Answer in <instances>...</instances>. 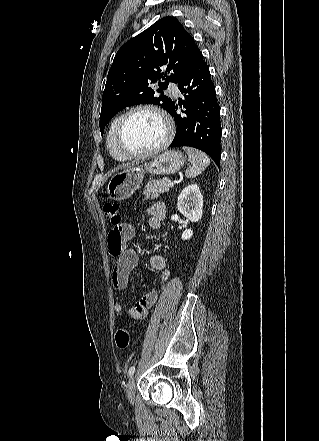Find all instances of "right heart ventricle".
I'll return each instance as SVG.
<instances>
[{"label":"right heart ventricle","instance_id":"obj_1","mask_svg":"<svg viewBox=\"0 0 319 441\" xmlns=\"http://www.w3.org/2000/svg\"><path fill=\"white\" fill-rule=\"evenodd\" d=\"M121 116L122 115H118L112 120L106 138L108 151L111 157L117 161H125L128 159L118 150L115 143V130Z\"/></svg>","mask_w":319,"mask_h":441}]
</instances>
